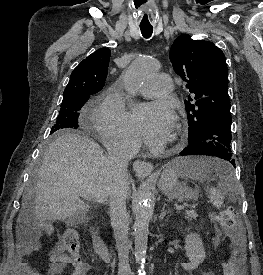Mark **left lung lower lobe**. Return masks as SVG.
<instances>
[{"mask_svg": "<svg viewBox=\"0 0 263 275\" xmlns=\"http://www.w3.org/2000/svg\"><path fill=\"white\" fill-rule=\"evenodd\" d=\"M231 114H222L210 120L194 137H188V145L180 156L209 155L229 161L235 167L231 151Z\"/></svg>", "mask_w": 263, "mask_h": 275, "instance_id": "1", "label": "left lung lower lobe"}]
</instances>
